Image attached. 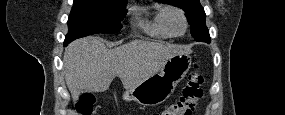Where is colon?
<instances>
[{"label": "colon", "mask_w": 285, "mask_h": 115, "mask_svg": "<svg viewBox=\"0 0 285 115\" xmlns=\"http://www.w3.org/2000/svg\"><path fill=\"white\" fill-rule=\"evenodd\" d=\"M203 75L199 70L198 65L188 75L180 98L161 112L154 113L155 115H191L198 101L203 96L202 91ZM94 98L91 94H84L79 103L78 110L81 114L89 115L94 112Z\"/></svg>", "instance_id": "1"}]
</instances>
